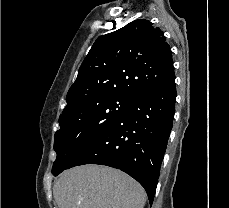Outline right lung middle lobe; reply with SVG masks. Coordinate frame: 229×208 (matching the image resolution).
Here are the masks:
<instances>
[{
  "label": "right lung middle lobe",
  "mask_w": 229,
  "mask_h": 208,
  "mask_svg": "<svg viewBox=\"0 0 229 208\" xmlns=\"http://www.w3.org/2000/svg\"><path fill=\"white\" fill-rule=\"evenodd\" d=\"M135 99L127 96H104L79 105L59 118L54 150L57 158L52 173L57 176L92 139L115 123Z\"/></svg>",
  "instance_id": "1"
}]
</instances>
